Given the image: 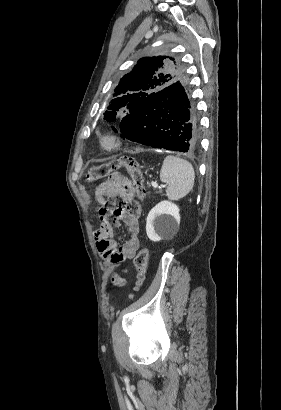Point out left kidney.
Masks as SVG:
<instances>
[{
  "instance_id": "5707ae66",
  "label": "left kidney",
  "mask_w": 281,
  "mask_h": 410,
  "mask_svg": "<svg viewBox=\"0 0 281 410\" xmlns=\"http://www.w3.org/2000/svg\"><path fill=\"white\" fill-rule=\"evenodd\" d=\"M180 223L179 207L170 201H161L153 207L146 222V233L150 240L160 241L159 231L173 228Z\"/></svg>"
}]
</instances>
